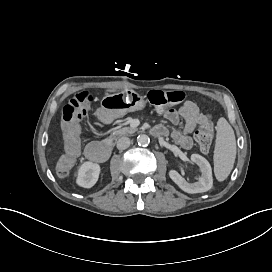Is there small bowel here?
Masks as SVG:
<instances>
[{
	"label": "small bowel",
	"mask_w": 272,
	"mask_h": 272,
	"mask_svg": "<svg viewBox=\"0 0 272 272\" xmlns=\"http://www.w3.org/2000/svg\"><path fill=\"white\" fill-rule=\"evenodd\" d=\"M159 112L164 113L165 118L174 126H178L183 121L182 129L175 128L171 136L179 146L190 149L193 145L192 135L203 129L198 125V118L202 114L198 105L191 100H186L178 109H159ZM154 129L163 131L164 135L167 133L164 125H157Z\"/></svg>",
	"instance_id": "small-bowel-1"
}]
</instances>
